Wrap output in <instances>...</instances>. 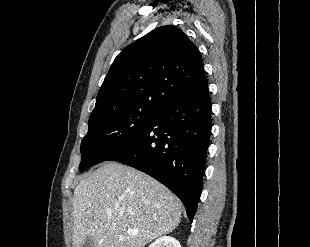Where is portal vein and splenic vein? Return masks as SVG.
<instances>
[{"mask_svg":"<svg viewBox=\"0 0 310 247\" xmlns=\"http://www.w3.org/2000/svg\"><path fill=\"white\" fill-rule=\"evenodd\" d=\"M106 213H107V214H111L112 211H111V210H107ZM128 233H129L130 235H136V234L138 233V231H137V230H128Z\"/></svg>","mask_w":310,"mask_h":247,"instance_id":"obj_1","label":"portal vein and splenic vein"}]
</instances>
